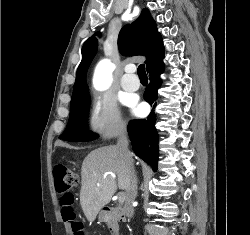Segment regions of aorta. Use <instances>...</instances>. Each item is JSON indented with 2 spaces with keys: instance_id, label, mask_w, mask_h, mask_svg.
Masks as SVG:
<instances>
[{
  "instance_id": "aorta-1",
  "label": "aorta",
  "mask_w": 250,
  "mask_h": 235,
  "mask_svg": "<svg viewBox=\"0 0 250 235\" xmlns=\"http://www.w3.org/2000/svg\"><path fill=\"white\" fill-rule=\"evenodd\" d=\"M112 71L113 65L107 60L102 61L96 70L95 81L97 84L104 85L108 83L111 80Z\"/></svg>"
}]
</instances>
